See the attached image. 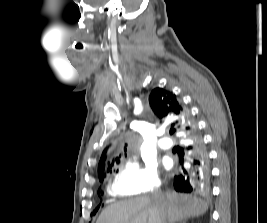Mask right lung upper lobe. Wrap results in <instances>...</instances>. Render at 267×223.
I'll use <instances>...</instances> for the list:
<instances>
[{"label": "right lung upper lobe", "instance_id": "1", "mask_svg": "<svg viewBox=\"0 0 267 223\" xmlns=\"http://www.w3.org/2000/svg\"><path fill=\"white\" fill-rule=\"evenodd\" d=\"M149 102L159 120L170 124L172 128L174 127V131L181 133L183 138L186 136V131H191L196 126L188 109L176 99V95L172 92L155 88L149 96ZM104 154L105 151L102 156ZM104 170L105 163L100 160L98 165L99 179L103 177Z\"/></svg>", "mask_w": 267, "mask_h": 223}]
</instances>
